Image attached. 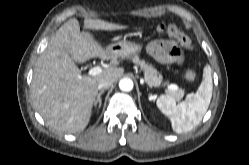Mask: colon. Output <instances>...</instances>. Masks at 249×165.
<instances>
[{
	"label": "colon",
	"instance_id": "colon-1",
	"mask_svg": "<svg viewBox=\"0 0 249 165\" xmlns=\"http://www.w3.org/2000/svg\"><path fill=\"white\" fill-rule=\"evenodd\" d=\"M157 32L176 39L185 48L191 49L193 46L191 39L175 25L160 24L157 26ZM185 77L187 81L193 83L196 80V72L193 69H188Z\"/></svg>",
	"mask_w": 249,
	"mask_h": 165
}]
</instances>
